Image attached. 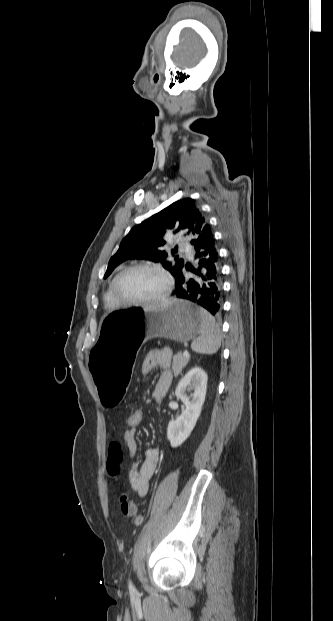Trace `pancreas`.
Returning <instances> with one entry per match:
<instances>
[{
	"instance_id": "cf45deb5",
	"label": "pancreas",
	"mask_w": 333,
	"mask_h": 621,
	"mask_svg": "<svg viewBox=\"0 0 333 621\" xmlns=\"http://www.w3.org/2000/svg\"><path fill=\"white\" fill-rule=\"evenodd\" d=\"M188 361L189 357H184L180 352L173 356L172 370L174 376H177L182 372V369L187 365Z\"/></svg>"
}]
</instances>
